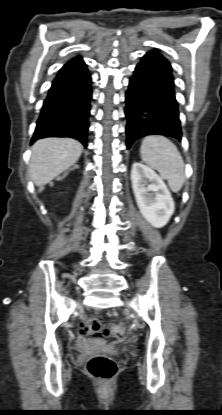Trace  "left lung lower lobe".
<instances>
[{
	"mask_svg": "<svg viewBox=\"0 0 222 415\" xmlns=\"http://www.w3.org/2000/svg\"><path fill=\"white\" fill-rule=\"evenodd\" d=\"M169 61L157 50L146 53L136 66L126 93L127 149L147 135L179 141L182 132Z\"/></svg>",
	"mask_w": 222,
	"mask_h": 415,
	"instance_id": "0a47b994",
	"label": "left lung lower lobe"
}]
</instances>
